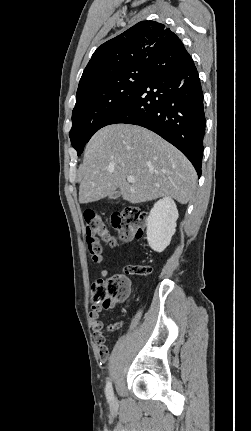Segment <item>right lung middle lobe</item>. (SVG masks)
Instances as JSON below:
<instances>
[{
	"instance_id": "right-lung-middle-lobe-1",
	"label": "right lung middle lobe",
	"mask_w": 251,
	"mask_h": 431,
	"mask_svg": "<svg viewBox=\"0 0 251 431\" xmlns=\"http://www.w3.org/2000/svg\"><path fill=\"white\" fill-rule=\"evenodd\" d=\"M147 66H134L77 92L70 139L78 156L92 135L142 84Z\"/></svg>"
}]
</instances>
